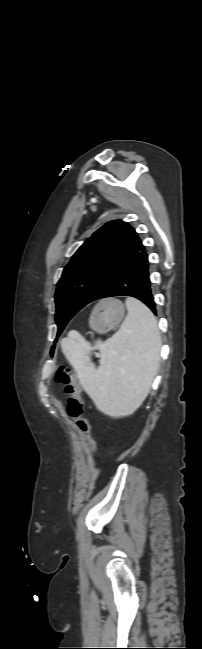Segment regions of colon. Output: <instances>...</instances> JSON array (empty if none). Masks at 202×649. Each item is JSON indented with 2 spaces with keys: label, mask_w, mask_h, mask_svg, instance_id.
Returning <instances> with one entry per match:
<instances>
[{
  "label": "colon",
  "mask_w": 202,
  "mask_h": 649,
  "mask_svg": "<svg viewBox=\"0 0 202 649\" xmlns=\"http://www.w3.org/2000/svg\"><path fill=\"white\" fill-rule=\"evenodd\" d=\"M55 380L64 385L67 399V413L73 419L76 430L83 436L90 453L95 452L94 440L91 435V425L84 417V400L82 389L74 370L67 365H60L55 374Z\"/></svg>",
  "instance_id": "colon-1"
}]
</instances>
